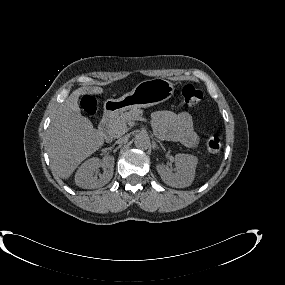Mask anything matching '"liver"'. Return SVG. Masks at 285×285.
Segmentation results:
<instances>
[{
    "instance_id": "liver-1",
    "label": "liver",
    "mask_w": 285,
    "mask_h": 285,
    "mask_svg": "<svg viewBox=\"0 0 285 285\" xmlns=\"http://www.w3.org/2000/svg\"><path fill=\"white\" fill-rule=\"evenodd\" d=\"M102 94L101 87H81L59 106L47 131L46 149L52 169L67 179L88 156L104 144V138L91 121L81 115L78 100L82 94Z\"/></svg>"
}]
</instances>
